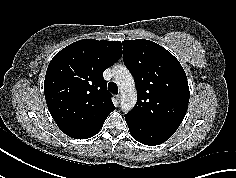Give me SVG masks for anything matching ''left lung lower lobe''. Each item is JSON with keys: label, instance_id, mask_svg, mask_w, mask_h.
Returning a JSON list of instances; mask_svg holds the SVG:
<instances>
[{"label": "left lung lower lobe", "instance_id": "0a47b994", "mask_svg": "<svg viewBox=\"0 0 236 178\" xmlns=\"http://www.w3.org/2000/svg\"><path fill=\"white\" fill-rule=\"evenodd\" d=\"M132 137L138 142L154 146L168 140L174 132L159 130L125 118Z\"/></svg>", "mask_w": 236, "mask_h": 178}]
</instances>
